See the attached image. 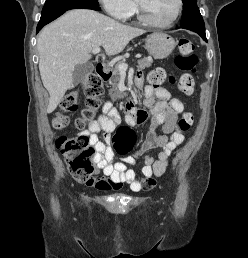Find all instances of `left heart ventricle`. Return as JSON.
Listing matches in <instances>:
<instances>
[{
  "label": "left heart ventricle",
  "mask_w": 248,
  "mask_h": 258,
  "mask_svg": "<svg viewBox=\"0 0 248 258\" xmlns=\"http://www.w3.org/2000/svg\"><path fill=\"white\" fill-rule=\"evenodd\" d=\"M147 16L160 23L169 21L176 13L177 0H143Z\"/></svg>",
  "instance_id": "b2bd125f"
}]
</instances>
